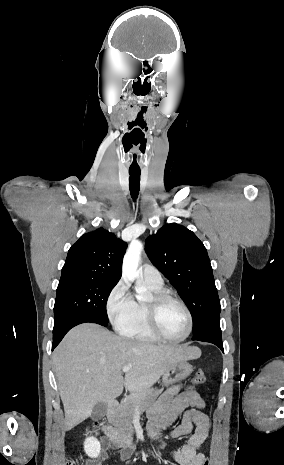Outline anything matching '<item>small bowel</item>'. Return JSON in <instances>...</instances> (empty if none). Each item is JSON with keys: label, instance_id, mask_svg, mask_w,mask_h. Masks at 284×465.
<instances>
[{"label": "small bowel", "instance_id": "c3829d8e", "mask_svg": "<svg viewBox=\"0 0 284 465\" xmlns=\"http://www.w3.org/2000/svg\"><path fill=\"white\" fill-rule=\"evenodd\" d=\"M204 407V400L192 386L175 385L164 391L148 411V435L155 443L162 440L161 429L171 425L184 412L180 425L170 433L174 439L188 435L180 449L169 453L176 465H204L206 458L200 449L208 440L210 428L208 416L201 411ZM133 451L132 445H126L119 452L120 459H129ZM108 456L105 452L97 465H104Z\"/></svg>", "mask_w": 284, "mask_h": 465}]
</instances>
